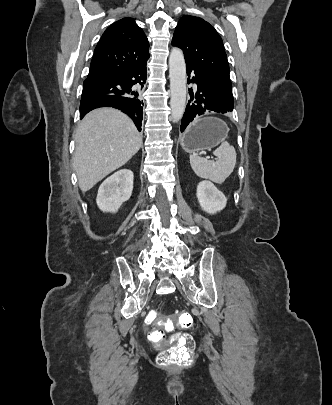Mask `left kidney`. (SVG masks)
<instances>
[{"label": "left kidney", "mask_w": 332, "mask_h": 405, "mask_svg": "<svg viewBox=\"0 0 332 405\" xmlns=\"http://www.w3.org/2000/svg\"><path fill=\"white\" fill-rule=\"evenodd\" d=\"M197 198L202 210L209 214L223 210L227 204L225 195L208 181L197 185Z\"/></svg>", "instance_id": "obj_1"}]
</instances>
